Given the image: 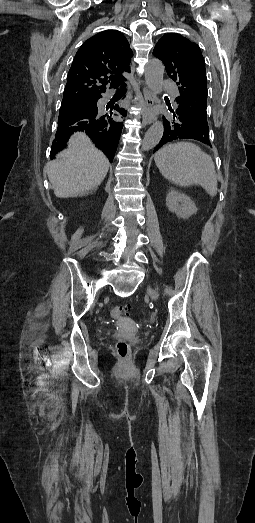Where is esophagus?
Listing matches in <instances>:
<instances>
[{"label":"esophagus","instance_id":"esophagus-1","mask_svg":"<svg viewBox=\"0 0 255 523\" xmlns=\"http://www.w3.org/2000/svg\"><path fill=\"white\" fill-rule=\"evenodd\" d=\"M144 93V109L142 115L147 124H151L156 120V113L153 111V107L156 104V99L151 90L147 87L143 89Z\"/></svg>","mask_w":255,"mask_h":523}]
</instances>
